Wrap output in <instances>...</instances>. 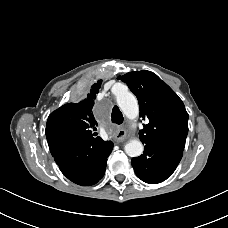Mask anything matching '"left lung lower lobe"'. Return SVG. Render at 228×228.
I'll list each match as a JSON object with an SVG mask.
<instances>
[{
  "instance_id": "0a47b994",
  "label": "left lung lower lobe",
  "mask_w": 228,
  "mask_h": 228,
  "mask_svg": "<svg viewBox=\"0 0 228 228\" xmlns=\"http://www.w3.org/2000/svg\"><path fill=\"white\" fill-rule=\"evenodd\" d=\"M183 155V149L164 143H145L144 153L132 158L136 175L150 184L166 180L175 171Z\"/></svg>"
}]
</instances>
